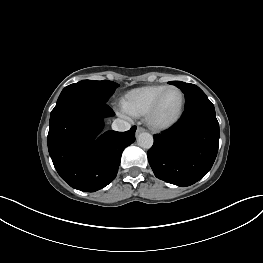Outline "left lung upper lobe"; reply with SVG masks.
<instances>
[{"label":"left lung upper lobe","mask_w":263,"mask_h":263,"mask_svg":"<svg viewBox=\"0 0 263 263\" xmlns=\"http://www.w3.org/2000/svg\"><path fill=\"white\" fill-rule=\"evenodd\" d=\"M169 84H173L180 88L185 94V108L205 100H209L205 93L196 85L190 83H184L181 81H171Z\"/></svg>","instance_id":"left-lung-upper-lobe-1"}]
</instances>
